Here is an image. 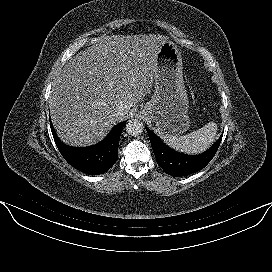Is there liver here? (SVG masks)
<instances>
[{
  "instance_id": "1",
  "label": "liver",
  "mask_w": 272,
  "mask_h": 272,
  "mask_svg": "<svg viewBox=\"0 0 272 272\" xmlns=\"http://www.w3.org/2000/svg\"><path fill=\"white\" fill-rule=\"evenodd\" d=\"M162 35L103 36L72 57L54 82L49 101L63 142L89 146L102 140L150 92ZM128 106L124 114L117 104Z\"/></svg>"
}]
</instances>
